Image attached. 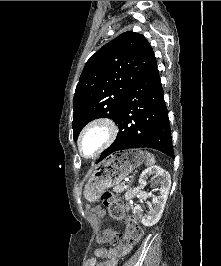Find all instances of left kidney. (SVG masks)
<instances>
[{"label":"left kidney","instance_id":"1","mask_svg":"<svg viewBox=\"0 0 221 266\" xmlns=\"http://www.w3.org/2000/svg\"><path fill=\"white\" fill-rule=\"evenodd\" d=\"M151 175H154V177H159L160 195L153 199V207H151L150 212L148 214H143V209L140 206H136L134 209V212L141 220V223L146 227H151L155 225L161 218L171 187L170 174L168 173V171L157 165L148 167L141 173L139 178L140 185L146 186L147 179ZM139 195L141 199L147 197V195L144 193H140Z\"/></svg>","mask_w":221,"mask_h":266}]
</instances>
